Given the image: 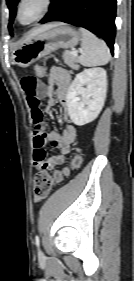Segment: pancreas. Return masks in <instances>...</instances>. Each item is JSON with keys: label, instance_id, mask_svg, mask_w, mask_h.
<instances>
[{"label": "pancreas", "instance_id": "1", "mask_svg": "<svg viewBox=\"0 0 134 281\" xmlns=\"http://www.w3.org/2000/svg\"><path fill=\"white\" fill-rule=\"evenodd\" d=\"M62 57H63L65 64H67L69 67H71L72 69H75V70L79 69V65L77 64V62H78L77 56L72 55L71 52H69V51H65L63 53Z\"/></svg>", "mask_w": 134, "mask_h": 281}]
</instances>
